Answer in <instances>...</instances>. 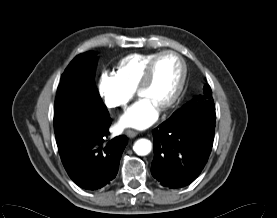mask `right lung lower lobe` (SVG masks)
Listing matches in <instances>:
<instances>
[{
  "mask_svg": "<svg viewBox=\"0 0 277 218\" xmlns=\"http://www.w3.org/2000/svg\"><path fill=\"white\" fill-rule=\"evenodd\" d=\"M78 89V85L61 86L57 89V96L73 98L80 93ZM111 122L108 114L58 146L68 175L84 189L97 190L107 186L118 172L120 158L128 140L125 136L106 140Z\"/></svg>",
  "mask_w": 277,
  "mask_h": 218,
  "instance_id": "1",
  "label": "right lung lower lobe"
}]
</instances>
